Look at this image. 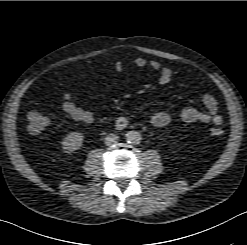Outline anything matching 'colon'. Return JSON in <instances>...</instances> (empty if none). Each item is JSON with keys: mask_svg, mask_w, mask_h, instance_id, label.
I'll return each mask as SVG.
<instances>
[{"mask_svg": "<svg viewBox=\"0 0 247 245\" xmlns=\"http://www.w3.org/2000/svg\"><path fill=\"white\" fill-rule=\"evenodd\" d=\"M27 121L28 130L33 134L42 132L49 124L48 118L37 110H31L28 112ZM211 134L220 136L223 134V129L221 127H213L211 129Z\"/></svg>", "mask_w": 247, "mask_h": 245, "instance_id": "obj_1", "label": "colon"}]
</instances>
